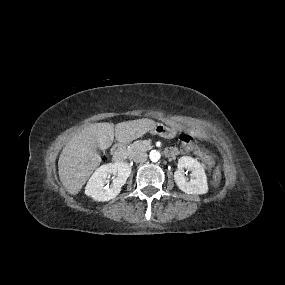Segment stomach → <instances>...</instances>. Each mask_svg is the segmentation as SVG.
Returning a JSON list of instances; mask_svg holds the SVG:
<instances>
[{"instance_id": "1", "label": "stomach", "mask_w": 285, "mask_h": 285, "mask_svg": "<svg viewBox=\"0 0 285 285\" xmlns=\"http://www.w3.org/2000/svg\"><path fill=\"white\" fill-rule=\"evenodd\" d=\"M174 130L172 128H169L163 124H157L153 129L152 133L158 134L162 137H169L172 135Z\"/></svg>"}]
</instances>
